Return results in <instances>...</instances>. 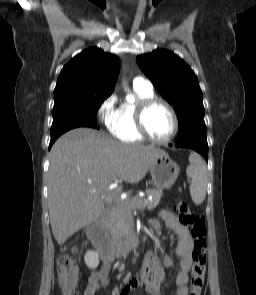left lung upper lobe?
Wrapping results in <instances>:
<instances>
[{
    "label": "left lung upper lobe",
    "instance_id": "left-lung-upper-lobe-1",
    "mask_svg": "<svg viewBox=\"0 0 256 295\" xmlns=\"http://www.w3.org/2000/svg\"><path fill=\"white\" fill-rule=\"evenodd\" d=\"M136 60L160 94L174 107L179 121L176 142L206 139L202 91L191 68L165 49L140 55Z\"/></svg>",
    "mask_w": 256,
    "mask_h": 295
}]
</instances>
